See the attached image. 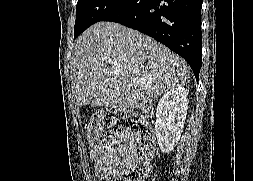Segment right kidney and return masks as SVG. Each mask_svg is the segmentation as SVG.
Here are the masks:
<instances>
[{
  "instance_id": "right-kidney-1",
  "label": "right kidney",
  "mask_w": 253,
  "mask_h": 181,
  "mask_svg": "<svg viewBox=\"0 0 253 181\" xmlns=\"http://www.w3.org/2000/svg\"><path fill=\"white\" fill-rule=\"evenodd\" d=\"M187 96L188 90L178 86L167 91L159 100L155 133L163 153L171 152L181 137L188 109Z\"/></svg>"
}]
</instances>
